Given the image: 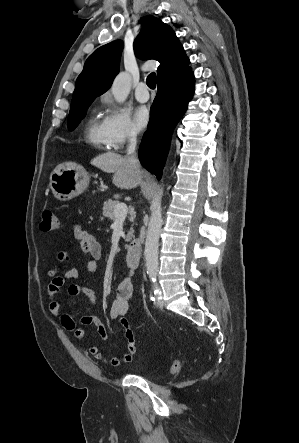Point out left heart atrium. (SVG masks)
Instances as JSON below:
<instances>
[{"label": "left heart atrium", "mask_w": 299, "mask_h": 443, "mask_svg": "<svg viewBox=\"0 0 299 443\" xmlns=\"http://www.w3.org/2000/svg\"><path fill=\"white\" fill-rule=\"evenodd\" d=\"M133 119L139 130L144 129L150 121L149 110L145 106L137 107L134 111Z\"/></svg>", "instance_id": "left-heart-atrium-1"}]
</instances>
